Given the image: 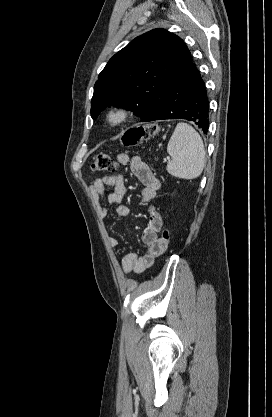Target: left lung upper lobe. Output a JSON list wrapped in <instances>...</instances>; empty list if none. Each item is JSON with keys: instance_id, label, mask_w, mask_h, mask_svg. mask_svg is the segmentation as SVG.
<instances>
[{"instance_id": "1", "label": "left lung upper lobe", "mask_w": 272, "mask_h": 417, "mask_svg": "<svg viewBox=\"0 0 272 417\" xmlns=\"http://www.w3.org/2000/svg\"><path fill=\"white\" fill-rule=\"evenodd\" d=\"M192 61L183 40L153 29L116 53L94 86L91 116L105 107H123L146 118L182 69Z\"/></svg>"}]
</instances>
